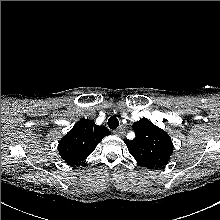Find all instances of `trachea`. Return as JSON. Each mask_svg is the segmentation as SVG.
Listing matches in <instances>:
<instances>
[{
    "label": "trachea",
    "instance_id": "trachea-1",
    "mask_svg": "<svg viewBox=\"0 0 220 220\" xmlns=\"http://www.w3.org/2000/svg\"><path fill=\"white\" fill-rule=\"evenodd\" d=\"M108 126L110 129H116L119 126V121L115 116H111L108 119Z\"/></svg>",
    "mask_w": 220,
    "mask_h": 220
}]
</instances>
